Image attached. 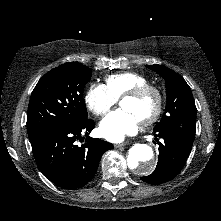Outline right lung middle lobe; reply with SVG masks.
<instances>
[{
	"mask_svg": "<svg viewBox=\"0 0 221 221\" xmlns=\"http://www.w3.org/2000/svg\"><path fill=\"white\" fill-rule=\"evenodd\" d=\"M91 73L87 66L71 62L52 69L39 80L28 106L30 139L46 131L68 128L87 118L83 91Z\"/></svg>",
	"mask_w": 221,
	"mask_h": 221,
	"instance_id": "1",
	"label": "right lung middle lobe"
}]
</instances>
